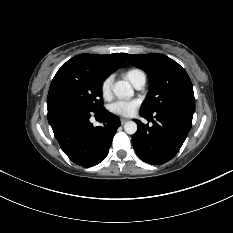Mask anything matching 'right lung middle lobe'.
Listing matches in <instances>:
<instances>
[{"label":"right lung middle lobe","instance_id":"1","mask_svg":"<svg viewBox=\"0 0 233 233\" xmlns=\"http://www.w3.org/2000/svg\"><path fill=\"white\" fill-rule=\"evenodd\" d=\"M106 78L83 67L62 66L50 85L47 106L72 105L99 112L104 109L101 86Z\"/></svg>","mask_w":233,"mask_h":233}]
</instances>
